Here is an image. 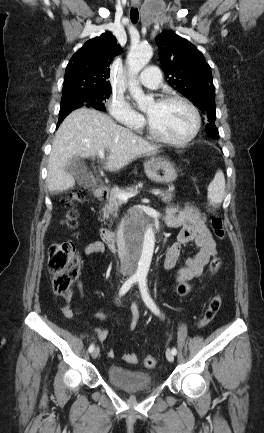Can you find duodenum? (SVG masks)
Returning <instances> with one entry per match:
<instances>
[{
    "mask_svg": "<svg viewBox=\"0 0 264 433\" xmlns=\"http://www.w3.org/2000/svg\"><path fill=\"white\" fill-rule=\"evenodd\" d=\"M93 195L95 199L103 200L106 196V193L102 189H95ZM100 234H101V238L110 249L112 250L122 249L121 252H123V257H124V260H122V267L124 271H129L130 270L129 260L132 257V254L121 243L122 228H117L115 230L102 228Z\"/></svg>",
    "mask_w": 264,
    "mask_h": 433,
    "instance_id": "410a0bca",
    "label": "duodenum"
}]
</instances>
